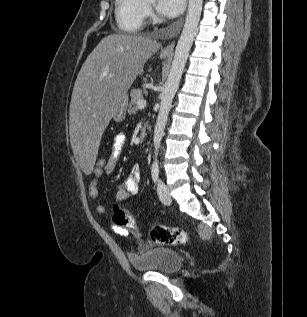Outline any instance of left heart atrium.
I'll return each mask as SVG.
<instances>
[{
    "label": "left heart atrium",
    "instance_id": "39dd6f15",
    "mask_svg": "<svg viewBox=\"0 0 307 317\" xmlns=\"http://www.w3.org/2000/svg\"><path fill=\"white\" fill-rule=\"evenodd\" d=\"M185 6V0H156L158 13L166 17L179 15Z\"/></svg>",
    "mask_w": 307,
    "mask_h": 317
}]
</instances>
